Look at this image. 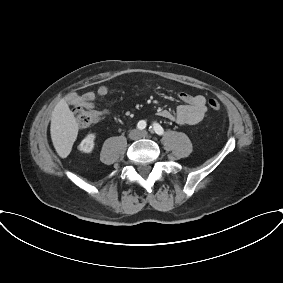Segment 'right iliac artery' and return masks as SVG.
Returning a JSON list of instances; mask_svg holds the SVG:
<instances>
[{"label":"right iliac artery","instance_id":"82829eb1","mask_svg":"<svg viewBox=\"0 0 283 283\" xmlns=\"http://www.w3.org/2000/svg\"><path fill=\"white\" fill-rule=\"evenodd\" d=\"M146 125H147L146 122L144 120H141L138 122L137 127L138 129L142 130L146 128Z\"/></svg>","mask_w":283,"mask_h":283}]
</instances>
